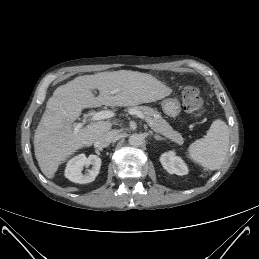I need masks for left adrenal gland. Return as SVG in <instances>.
Listing matches in <instances>:
<instances>
[{
  "label": "left adrenal gland",
  "instance_id": "obj_1",
  "mask_svg": "<svg viewBox=\"0 0 259 259\" xmlns=\"http://www.w3.org/2000/svg\"><path fill=\"white\" fill-rule=\"evenodd\" d=\"M153 138L158 141V140H165V138H162L161 136L159 135H154Z\"/></svg>",
  "mask_w": 259,
  "mask_h": 259
}]
</instances>
